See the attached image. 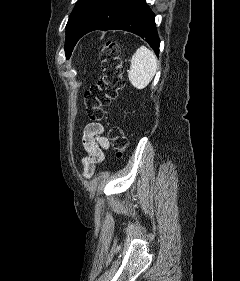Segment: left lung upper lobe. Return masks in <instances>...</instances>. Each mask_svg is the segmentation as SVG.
I'll return each mask as SVG.
<instances>
[{
    "label": "left lung upper lobe",
    "mask_w": 240,
    "mask_h": 281,
    "mask_svg": "<svg viewBox=\"0 0 240 281\" xmlns=\"http://www.w3.org/2000/svg\"><path fill=\"white\" fill-rule=\"evenodd\" d=\"M103 0H78L66 26L65 55L70 57L78 36L90 16Z\"/></svg>",
    "instance_id": "5c2ea615"
}]
</instances>
